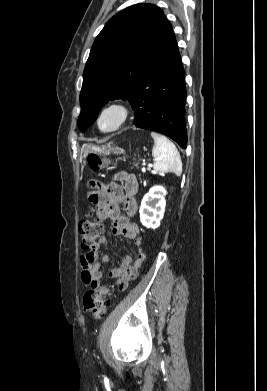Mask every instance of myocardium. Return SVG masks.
<instances>
[{
    "mask_svg": "<svg viewBox=\"0 0 267 391\" xmlns=\"http://www.w3.org/2000/svg\"><path fill=\"white\" fill-rule=\"evenodd\" d=\"M111 110L118 112L119 121H118L117 125L115 127H113L112 129L105 130L101 127V124H100L101 118L106 112L111 111ZM129 115H130V110H129V107L127 106V104H125L122 101H112V102L107 103L106 105H104L100 109V111L97 115V118H96V124H97L98 129L101 132L113 133V132L118 131L120 128H122L126 124L128 118H129Z\"/></svg>",
    "mask_w": 267,
    "mask_h": 391,
    "instance_id": "myocardium-1",
    "label": "myocardium"
}]
</instances>
